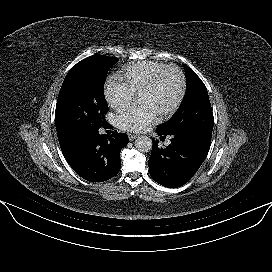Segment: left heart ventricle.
<instances>
[{
    "label": "left heart ventricle",
    "mask_w": 272,
    "mask_h": 272,
    "mask_svg": "<svg viewBox=\"0 0 272 272\" xmlns=\"http://www.w3.org/2000/svg\"><path fill=\"white\" fill-rule=\"evenodd\" d=\"M179 91L180 77L176 71L169 70L152 91L139 96V102L150 105L160 115L172 107Z\"/></svg>",
    "instance_id": "1"
}]
</instances>
